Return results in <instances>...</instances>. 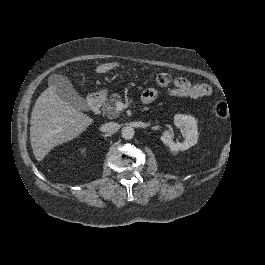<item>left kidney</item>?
<instances>
[{"mask_svg": "<svg viewBox=\"0 0 265 265\" xmlns=\"http://www.w3.org/2000/svg\"><path fill=\"white\" fill-rule=\"evenodd\" d=\"M174 125L177 129L185 133L183 142L174 143L169 129H166L161 136V141L168 146L172 152L186 151L197 144L199 137L197 121L193 117L176 115L174 117Z\"/></svg>", "mask_w": 265, "mask_h": 265, "instance_id": "5707ae66", "label": "left kidney"}]
</instances>
